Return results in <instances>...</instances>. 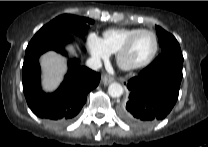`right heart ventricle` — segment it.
<instances>
[{
    "label": "right heart ventricle",
    "instance_id": "e07e8e85",
    "mask_svg": "<svg viewBox=\"0 0 208 147\" xmlns=\"http://www.w3.org/2000/svg\"><path fill=\"white\" fill-rule=\"evenodd\" d=\"M141 30L135 27H120L107 29L103 33V42L110 53H116L126 40Z\"/></svg>",
    "mask_w": 208,
    "mask_h": 147
}]
</instances>
